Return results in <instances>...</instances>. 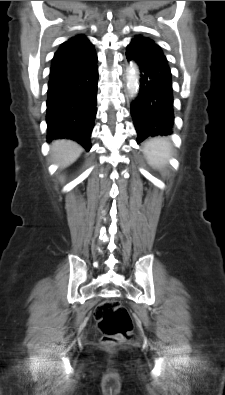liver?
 I'll use <instances>...</instances> for the list:
<instances>
[{
    "mask_svg": "<svg viewBox=\"0 0 225 395\" xmlns=\"http://www.w3.org/2000/svg\"><path fill=\"white\" fill-rule=\"evenodd\" d=\"M82 152L83 148L71 140H57L51 145L53 160L61 168H65L74 163Z\"/></svg>",
    "mask_w": 225,
    "mask_h": 395,
    "instance_id": "6515ba94",
    "label": "liver"
}]
</instances>
